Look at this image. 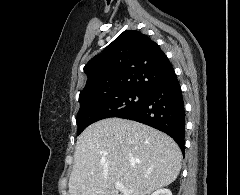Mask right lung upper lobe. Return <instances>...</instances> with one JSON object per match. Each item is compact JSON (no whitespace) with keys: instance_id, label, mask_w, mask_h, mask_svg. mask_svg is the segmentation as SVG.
Wrapping results in <instances>:
<instances>
[{"instance_id":"1","label":"right lung upper lobe","mask_w":240,"mask_h":195,"mask_svg":"<svg viewBox=\"0 0 240 195\" xmlns=\"http://www.w3.org/2000/svg\"><path fill=\"white\" fill-rule=\"evenodd\" d=\"M87 83L79 100L110 95L124 89L147 92L174 74L160 47L146 35L124 31L84 67Z\"/></svg>"}]
</instances>
